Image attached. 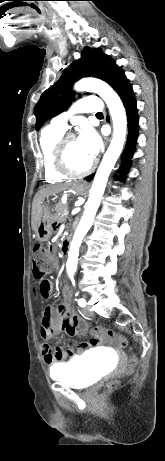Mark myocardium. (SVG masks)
Segmentation results:
<instances>
[{
  "instance_id": "f54148a6",
  "label": "myocardium",
  "mask_w": 165,
  "mask_h": 461,
  "mask_svg": "<svg viewBox=\"0 0 165 461\" xmlns=\"http://www.w3.org/2000/svg\"><path fill=\"white\" fill-rule=\"evenodd\" d=\"M73 138H75L73 133H65L58 139L53 151V164L56 170L65 176L82 177L94 170L97 161L92 159L90 164L83 170L73 169L67 161V145Z\"/></svg>"
}]
</instances>
